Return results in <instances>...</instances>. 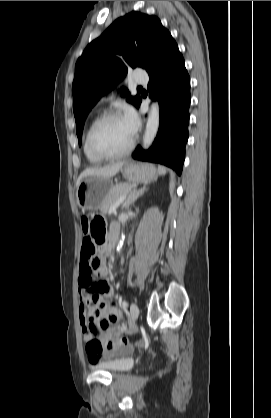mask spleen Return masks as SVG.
<instances>
[{
	"instance_id": "3e777b00",
	"label": "spleen",
	"mask_w": 271,
	"mask_h": 418,
	"mask_svg": "<svg viewBox=\"0 0 271 418\" xmlns=\"http://www.w3.org/2000/svg\"><path fill=\"white\" fill-rule=\"evenodd\" d=\"M158 173L160 175H165L166 174V168L164 166H158Z\"/></svg>"
}]
</instances>
